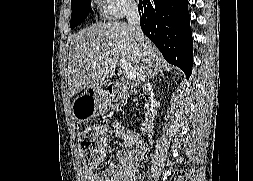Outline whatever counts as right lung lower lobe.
I'll return each instance as SVG.
<instances>
[{
	"label": "right lung lower lobe",
	"mask_w": 253,
	"mask_h": 181,
	"mask_svg": "<svg viewBox=\"0 0 253 181\" xmlns=\"http://www.w3.org/2000/svg\"><path fill=\"white\" fill-rule=\"evenodd\" d=\"M138 6L143 33L157 46L166 61L178 66L189 78L193 47L188 0H143Z\"/></svg>",
	"instance_id": "obj_1"
}]
</instances>
